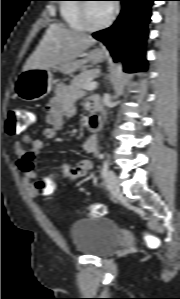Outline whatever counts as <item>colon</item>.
I'll return each mask as SVG.
<instances>
[{"instance_id": "obj_1", "label": "colon", "mask_w": 180, "mask_h": 299, "mask_svg": "<svg viewBox=\"0 0 180 299\" xmlns=\"http://www.w3.org/2000/svg\"><path fill=\"white\" fill-rule=\"evenodd\" d=\"M35 115L21 108H15L10 110L6 121V131L10 135H18L26 130L34 121ZM36 188L40 195L50 196L54 193L55 187L53 184L37 182ZM88 214L93 217H99L105 214V206L99 203L92 204L88 207ZM145 240L147 244L154 248L160 243L158 236L145 233Z\"/></svg>"}]
</instances>
